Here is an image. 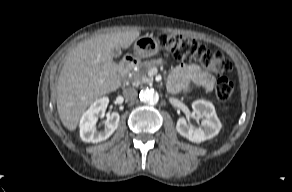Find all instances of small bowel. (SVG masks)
Instances as JSON below:
<instances>
[{
	"instance_id": "c3829d8e",
	"label": "small bowel",
	"mask_w": 292,
	"mask_h": 192,
	"mask_svg": "<svg viewBox=\"0 0 292 192\" xmlns=\"http://www.w3.org/2000/svg\"><path fill=\"white\" fill-rule=\"evenodd\" d=\"M214 82V76L202 71L197 65L180 64L169 77L168 89L172 93L188 91L193 87L210 91Z\"/></svg>"
}]
</instances>
